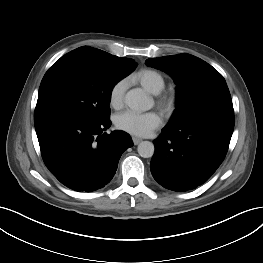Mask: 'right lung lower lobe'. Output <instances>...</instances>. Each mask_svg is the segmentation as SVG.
Masks as SVG:
<instances>
[{"mask_svg":"<svg viewBox=\"0 0 263 263\" xmlns=\"http://www.w3.org/2000/svg\"><path fill=\"white\" fill-rule=\"evenodd\" d=\"M111 121L54 116L35 122L42 158L50 172L75 191L91 192L108 184L122 153L133 146L124 131L104 133Z\"/></svg>","mask_w":263,"mask_h":263,"instance_id":"1","label":"right lung lower lobe"}]
</instances>
